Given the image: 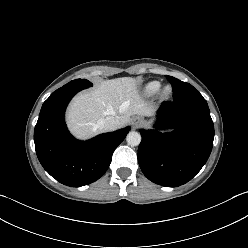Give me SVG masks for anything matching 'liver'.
Returning <instances> with one entry per match:
<instances>
[{"label": "liver", "mask_w": 248, "mask_h": 248, "mask_svg": "<svg viewBox=\"0 0 248 248\" xmlns=\"http://www.w3.org/2000/svg\"><path fill=\"white\" fill-rule=\"evenodd\" d=\"M152 114L153 109L138 94L137 81L123 77L102 81L93 90L77 95L69 106L67 121L73 134L85 139L103 130L97 122L107 116L117 118L120 128L133 115Z\"/></svg>", "instance_id": "obj_1"}]
</instances>
